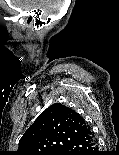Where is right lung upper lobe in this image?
<instances>
[{
	"label": "right lung upper lobe",
	"mask_w": 119,
	"mask_h": 155,
	"mask_svg": "<svg viewBox=\"0 0 119 155\" xmlns=\"http://www.w3.org/2000/svg\"><path fill=\"white\" fill-rule=\"evenodd\" d=\"M88 129L80 114L55 103L26 130L15 155H59L66 145Z\"/></svg>",
	"instance_id": "cb5924a9"
}]
</instances>
